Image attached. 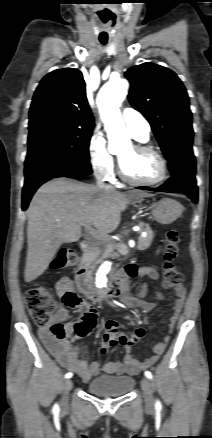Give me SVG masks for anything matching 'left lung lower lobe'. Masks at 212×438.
Returning <instances> with one entry per match:
<instances>
[{
	"mask_svg": "<svg viewBox=\"0 0 212 438\" xmlns=\"http://www.w3.org/2000/svg\"><path fill=\"white\" fill-rule=\"evenodd\" d=\"M171 177L158 188L137 187L158 192H184L194 203L198 201L196 185V161L192 148H185L168 159Z\"/></svg>",
	"mask_w": 212,
	"mask_h": 438,
	"instance_id": "1",
	"label": "left lung lower lobe"
}]
</instances>
